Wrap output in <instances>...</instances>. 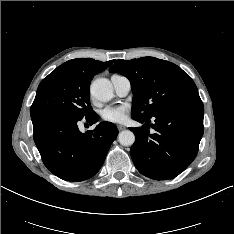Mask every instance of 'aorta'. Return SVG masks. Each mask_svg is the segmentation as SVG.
<instances>
[{
  "mask_svg": "<svg viewBox=\"0 0 234 234\" xmlns=\"http://www.w3.org/2000/svg\"><path fill=\"white\" fill-rule=\"evenodd\" d=\"M90 91L92 96L102 102L109 101L113 96L112 83L106 78L95 79L91 83ZM118 141L123 146H131L135 141V136L132 131L124 130L119 133Z\"/></svg>",
  "mask_w": 234,
  "mask_h": 234,
  "instance_id": "1",
  "label": "aorta"
}]
</instances>
